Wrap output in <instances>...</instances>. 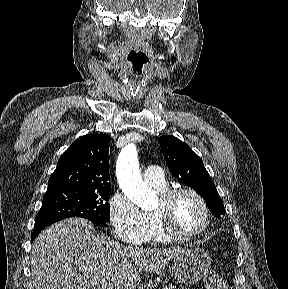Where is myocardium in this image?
<instances>
[{
	"instance_id": "myocardium-1",
	"label": "myocardium",
	"mask_w": 288,
	"mask_h": 289,
	"mask_svg": "<svg viewBox=\"0 0 288 289\" xmlns=\"http://www.w3.org/2000/svg\"><path fill=\"white\" fill-rule=\"evenodd\" d=\"M182 195H190L200 204L203 211V222L200 227L189 233H182L172 227L170 220V208L172 203ZM160 200L162 204L161 211L154 212L153 217L161 230L167 237L172 240H190L202 235L210 225V211L207 202L197 191L191 188H174L161 192Z\"/></svg>"
}]
</instances>
